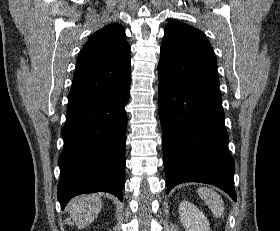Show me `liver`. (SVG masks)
Listing matches in <instances>:
<instances>
[{
  "mask_svg": "<svg viewBox=\"0 0 280 231\" xmlns=\"http://www.w3.org/2000/svg\"><path fill=\"white\" fill-rule=\"evenodd\" d=\"M103 201L98 193L77 195L69 203L71 217L76 221L77 227H87L101 211Z\"/></svg>",
  "mask_w": 280,
  "mask_h": 231,
  "instance_id": "6515ba94",
  "label": "liver"
}]
</instances>
